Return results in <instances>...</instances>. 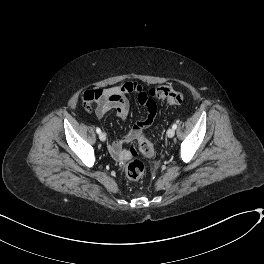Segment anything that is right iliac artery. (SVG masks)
<instances>
[{"mask_svg":"<svg viewBox=\"0 0 264 264\" xmlns=\"http://www.w3.org/2000/svg\"><path fill=\"white\" fill-rule=\"evenodd\" d=\"M96 132H97L98 134H100V133H101V129H100L99 127H96Z\"/></svg>","mask_w":264,"mask_h":264,"instance_id":"1","label":"right iliac artery"}]
</instances>
